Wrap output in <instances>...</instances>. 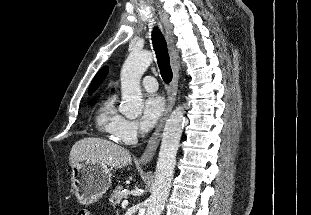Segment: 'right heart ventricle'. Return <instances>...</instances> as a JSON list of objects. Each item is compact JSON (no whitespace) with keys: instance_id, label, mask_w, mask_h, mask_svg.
<instances>
[{"instance_id":"right-heart-ventricle-1","label":"right heart ventricle","mask_w":311,"mask_h":215,"mask_svg":"<svg viewBox=\"0 0 311 215\" xmlns=\"http://www.w3.org/2000/svg\"><path fill=\"white\" fill-rule=\"evenodd\" d=\"M123 119L124 117L119 114L115 107V97L111 96L100 106L96 115V126L103 134L113 140H118L116 130Z\"/></svg>"}]
</instances>
